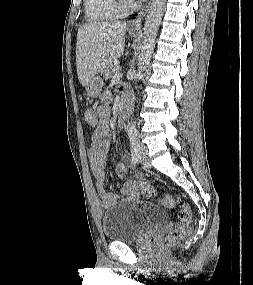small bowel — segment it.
Listing matches in <instances>:
<instances>
[{"mask_svg": "<svg viewBox=\"0 0 253 285\" xmlns=\"http://www.w3.org/2000/svg\"><path fill=\"white\" fill-rule=\"evenodd\" d=\"M127 96V92L124 93ZM110 94L105 93L102 97V104L97 109L100 118L99 127L93 132L88 149V158L92 174L94 176L96 187L101 194L102 206L108 208L118 201H136L145 196L152 198L155 196L154 187L144 178H129L124 182L120 189V196L114 193L105 192V166L110 148V137L105 121L110 115ZM116 174L122 179L127 174V167L120 163L116 168Z\"/></svg>", "mask_w": 253, "mask_h": 285, "instance_id": "small-bowel-1", "label": "small bowel"}]
</instances>
